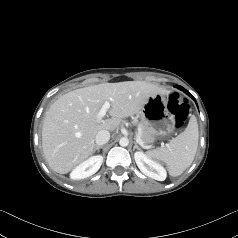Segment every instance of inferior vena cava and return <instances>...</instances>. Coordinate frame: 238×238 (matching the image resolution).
I'll list each match as a JSON object with an SVG mask.
<instances>
[{
    "instance_id": "1",
    "label": "inferior vena cava",
    "mask_w": 238,
    "mask_h": 238,
    "mask_svg": "<svg viewBox=\"0 0 238 238\" xmlns=\"http://www.w3.org/2000/svg\"><path fill=\"white\" fill-rule=\"evenodd\" d=\"M110 139V133L107 130H101L96 134L95 142L97 145H104Z\"/></svg>"
}]
</instances>
